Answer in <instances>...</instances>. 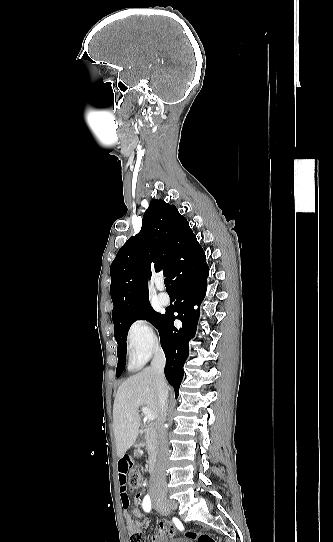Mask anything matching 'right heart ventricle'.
<instances>
[{"mask_svg": "<svg viewBox=\"0 0 333 542\" xmlns=\"http://www.w3.org/2000/svg\"><path fill=\"white\" fill-rule=\"evenodd\" d=\"M129 358H130L131 364L134 367H141L146 361V357H144L143 355H141L139 352H137L134 349H131Z\"/></svg>", "mask_w": 333, "mask_h": 542, "instance_id": "1", "label": "right heart ventricle"}]
</instances>
